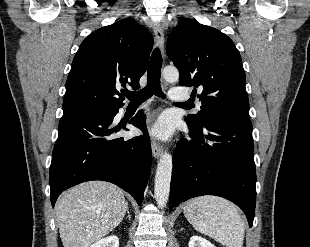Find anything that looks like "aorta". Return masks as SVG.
I'll return each mask as SVG.
<instances>
[{
  "label": "aorta",
  "mask_w": 310,
  "mask_h": 247,
  "mask_svg": "<svg viewBox=\"0 0 310 247\" xmlns=\"http://www.w3.org/2000/svg\"><path fill=\"white\" fill-rule=\"evenodd\" d=\"M163 78L168 82H175L179 72L175 67H165L162 71ZM172 175V156L165 152L161 155L155 174V200L159 208H165L169 199Z\"/></svg>",
  "instance_id": "1"
}]
</instances>
